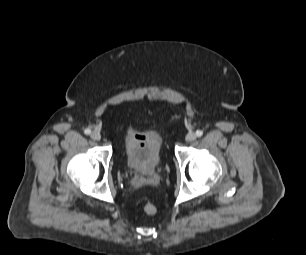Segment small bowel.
<instances>
[{
    "instance_id": "obj_1",
    "label": "small bowel",
    "mask_w": 306,
    "mask_h": 255,
    "mask_svg": "<svg viewBox=\"0 0 306 255\" xmlns=\"http://www.w3.org/2000/svg\"><path fill=\"white\" fill-rule=\"evenodd\" d=\"M128 136L133 138H141L142 137V131L136 128H131L128 132Z\"/></svg>"
}]
</instances>
